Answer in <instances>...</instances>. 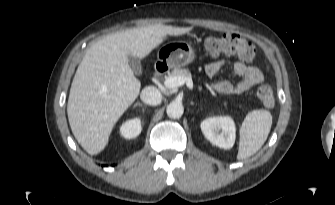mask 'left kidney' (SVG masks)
<instances>
[{
	"label": "left kidney",
	"instance_id": "obj_1",
	"mask_svg": "<svg viewBox=\"0 0 335 205\" xmlns=\"http://www.w3.org/2000/svg\"><path fill=\"white\" fill-rule=\"evenodd\" d=\"M201 130L213 145L223 149L233 147L236 138V126L230 116L210 117L202 121Z\"/></svg>",
	"mask_w": 335,
	"mask_h": 205
}]
</instances>
